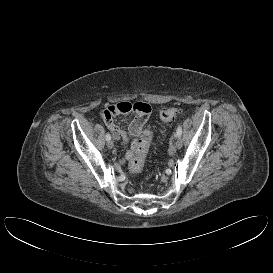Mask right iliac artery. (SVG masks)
<instances>
[{
  "label": "right iliac artery",
  "instance_id": "82829eb1",
  "mask_svg": "<svg viewBox=\"0 0 273 273\" xmlns=\"http://www.w3.org/2000/svg\"><path fill=\"white\" fill-rule=\"evenodd\" d=\"M106 140L107 141L111 140V135L109 133L106 134Z\"/></svg>",
  "mask_w": 273,
  "mask_h": 273
}]
</instances>
